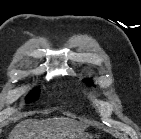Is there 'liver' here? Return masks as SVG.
Instances as JSON below:
<instances>
[{
    "label": "liver",
    "mask_w": 141,
    "mask_h": 139,
    "mask_svg": "<svg viewBox=\"0 0 141 139\" xmlns=\"http://www.w3.org/2000/svg\"><path fill=\"white\" fill-rule=\"evenodd\" d=\"M86 126L67 118L27 119L19 122L8 139H79Z\"/></svg>",
    "instance_id": "liver-1"
}]
</instances>
